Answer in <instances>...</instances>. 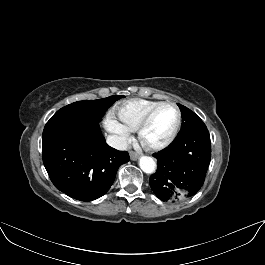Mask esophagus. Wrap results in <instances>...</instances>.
<instances>
[{"instance_id":"34e87169","label":"esophagus","mask_w":265,"mask_h":265,"mask_svg":"<svg viewBox=\"0 0 265 265\" xmlns=\"http://www.w3.org/2000/svg\"><path fill=\"white\" fill-rule=\"evenodd\" d=\"M130 158H131V160L135 161V160H137L139 158V154L131 151L130 152Z\"/></svg>"}]
</instances>
